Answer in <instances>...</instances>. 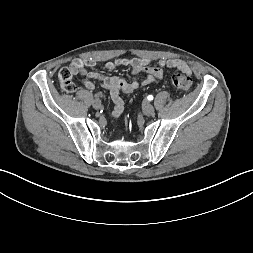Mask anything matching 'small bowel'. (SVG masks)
Instances as JSON below:
<instances>
[{
	"label": "small bowel",
	"mask_w": 253,
	"mask_h": 253,
	"mask_svg": "<svg viewBox=\"0 0 253 253\" xmlns=\"http://www.w3.org/2000/svg\"><path fill=\"white\" fill-rule=\"evenodd\" d=\"M95 65V59L77 58L72 61L70 67L73 68L76 73L85 77L84 86L87 89H93V80H97L110 92L111 99L114 103L111 116L114 118L119 117L124 110V102L121 98V93L130 94L143 86L158 83L163 78V71L165 68H176L180 71H189L188 64L176 58L161 59L156 66H150V60L140 58H118L108 61L105 64V68L108 71H113L118 67H127L131 69L133 74H146L143 80L127 81L117 76H104L96 72L87 71V68Z\"/></svg>",
	"instance_id": "obj_1"
}]
</instances>
